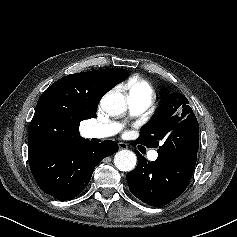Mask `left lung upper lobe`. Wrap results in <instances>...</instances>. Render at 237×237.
<instances>
[{"label":"left lung upper lobe","instance_id":"1","mask_svg":"<svg viewBox=\"0 0 237 237\" xmlns=\"http://www.w3.org/2000/svg\"><path fill=\"white\" fill-rule=\"evenodd\" d=\"M162 103L140 132L137 143L158 147L161 153H177L199 138V124L187 98L162 93Z\"/></svg>","mask_w":237,"mask_h":237}]
</instances>
